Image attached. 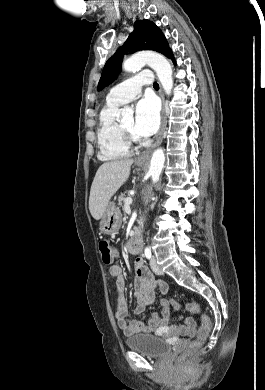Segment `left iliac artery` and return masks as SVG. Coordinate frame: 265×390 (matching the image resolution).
<instances>
[{"instance_id":"obj_1","label":"left iliac artery","mask_w":265,"mask_h":390,"mask_svg":"<svg viewBox=\"0 0 265 390\" xmlns=\"http://www.w3.org/2000/svg\"><path fill=\"white\" fill-rule=\"evenodd\" d=\"M144 254H145V256H146V258L147 259H150L151 258V250H150V248H148V247H146L145 248V251H144Z\"/></svg>"}]
</instances>
